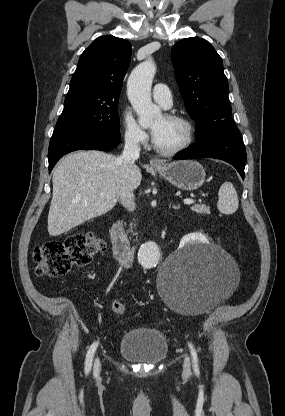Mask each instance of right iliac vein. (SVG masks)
<instances>
[{"label": "right iliac vein", "instance_id": "right-iliac-vein-1", "mask_svg": "<svg viewBox=\"0 0 285 416\" xmlns=\"http://www.w3.org/2000/svg\"><path fill=\"white\" fill-rule=\"evenodd\" d=\"M101 369V363L99 359L97 358L94 362V372L97 374Z\"/></svg>", "mask_w": 285, "mask_h": 416}]
</instances>
